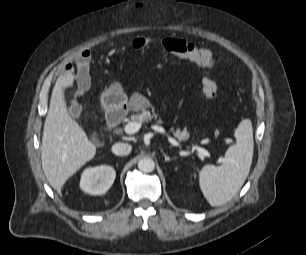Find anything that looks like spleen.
I'll return each mask as SVG.
<instances>
[{
  "label": "spleen",
  "instance_id": "1",
  "mask_svg": "<svg viewBox=\"0 0 306 255\" xmlns=\"http://www.w3.org/2000/svg\"><path fill=\"white\" fill-rule=\"evenodd\" d=\"M234 136L236 144L227 149L222 165H205L199 173L201 191L213 207L229 202L250 172L254 149L251 120L243 119Z\"/></svg>",
  "mask_w": 306,
  "mask_h": 255
}]
</instances>
